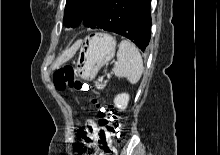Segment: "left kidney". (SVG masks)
<instances>
[{
    "label": "left kidney",
    "mask_w": 220,
    "mask_h": 155,
    "mask_svg": "<svg viewBox=\"0 0 220 155\" xmlns=\"http://www.w3.org/2000/svg\"><path fill=\"white\" fill-rule=\"evenodd\" d=\"M129 102V95L126 93L118 94L114 99V104L117 108L126 109Z\"/></svg>",
    "instance_id": "1"
}]
</instances>
